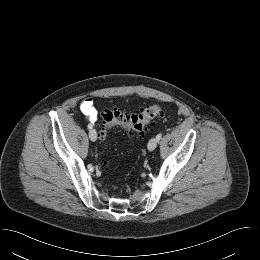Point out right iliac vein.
Here are the masks:
<instances>
[{
	"label": "right iliac vein",
	"mask_w": 260,
	"mask_h": 260,
	"mask_svg": "<svg viewBox=\"0 0 260 260\" xmlns=\"http://www.w3.org/2000/svg\"><path fill=\"white\" fill-rule=\"evenodd\" d=\"M89 138L91 141H96L97 140V132L95 129H90L89 131Z\"/></svg>",
	"instance_id": "obj_1"
}]
</instances>
